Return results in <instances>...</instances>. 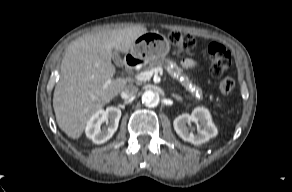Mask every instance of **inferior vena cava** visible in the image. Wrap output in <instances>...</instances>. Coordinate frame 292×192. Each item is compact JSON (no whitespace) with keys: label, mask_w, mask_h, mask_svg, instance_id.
<instances>
[{"label":"inferior vena cava","mask_w":292,"mask_h":192,"mask_svg":"<svg viewBox=\"0 0 292 192\" xmlns=\"http://www.w3.org/2000/svg\"><path fill=\"white\" fill-rule=\"evenodd\" d=\"M138 91V88L134 85H127L122 93H121V96L122 98L124 99H129V98H132Z\"/></svg>","instance_id":"inferior-vena-cava-1"}]
</instances>
